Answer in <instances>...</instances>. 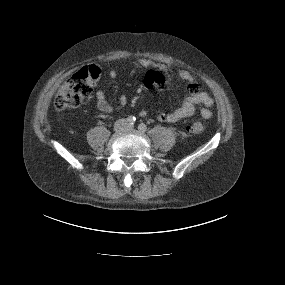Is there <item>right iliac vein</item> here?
<instances>
[{"label": "right iliac vein", "mask_w": 285, "mask_h": 285, "mask_svg": "<svg viewBox=\"0 0 285 285\" xmlns=\"http://www.w3.org/2000/svg\"><path fill=\"white\" fill-rule=\"evenodd\" d=\"M126 122L124 120H119L116 124H115V129L117 131H121L124 130L126 128Z\"/></svg>", "instance_id": "1"}]
</instances>
